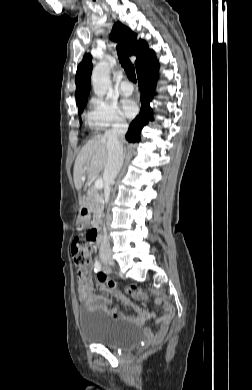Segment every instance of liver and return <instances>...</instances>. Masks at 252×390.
Wrapping results in <instances>:
<instances>
[{"label":"liver","instance_id":"1","mask_svg":"<svg viewBox=\"0 0 252 390\" xmlns=\"http://www.w3.org/2000/svg\"><path fill=\"white\" fill-rule=\"evenodd\" d=\"M121 143L123 141L121 140ZM107 139L97 135L89 140L79 152L73 170L75 188L80 190L85 178H93L99 174L107 163ZM80 209L84 206L82 198H79Z\"/></svg>","mask_w":252,"mask_h":390}]
</instances>
